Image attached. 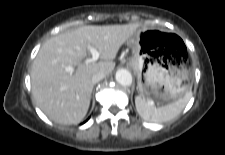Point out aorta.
<instances>
[{"mask_svg": "<svg viewBox=\"0 0 225 155\" xmlns=\"http://www.w3.org/2000/svg\"><path fill=\"white\" fill-rule=\"evenodd\" d=\"M115 79L122 86H130L132 84V75L126 69L117 70Z\"/></svg>", "mask_w": 225, "mask_h": 155, "instance_id": "1", "label": "aorta"}]
</instances>
